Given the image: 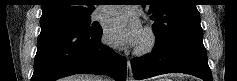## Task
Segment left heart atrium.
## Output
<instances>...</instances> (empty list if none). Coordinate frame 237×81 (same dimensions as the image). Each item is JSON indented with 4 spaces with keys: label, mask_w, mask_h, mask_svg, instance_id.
I'll return each mask as SVG.
<instances>
[{
    "label": "left heart atrium",
    "mask_w": 237,
    "mask_h": 81,
    "mask_svg": "<svg viewBox=\"0 0 237 81\" xmlns=\"http://www.w3.org/2000/svg\"><path fill=\"white\" fill-rule=\"evenodd\" d=\"M143 36L139 20L131 14H123L111 19L105 30L107 41L120 47H133Z\"/></svg>",
    "instance_id": "obj_1"
}]
</instances>
